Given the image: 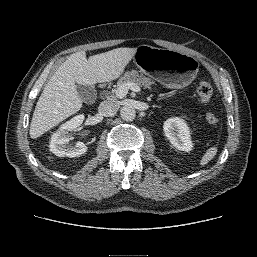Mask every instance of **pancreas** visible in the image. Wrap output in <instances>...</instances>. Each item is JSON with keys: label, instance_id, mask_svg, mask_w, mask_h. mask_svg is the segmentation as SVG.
<instances>
[{"label": "pancreas", "instance_id": "pancreas-1", "mask_svg": "<svg viewBox=\"0 0 257 257\" xmlns=\"http://www.w3.org/2000/svg\"><path fill=\"white\" fill-rule=\"evenodd\" d=\"M128 82L135 83L139 86L144 88H151V85L154 83L150 78L141 74L138 75L137 71H127L125 74L118 80L117 85L118 87L121 85H125Z\"/></svg>", "mask_w": 257, "mask_h": 257}]
</instances>
